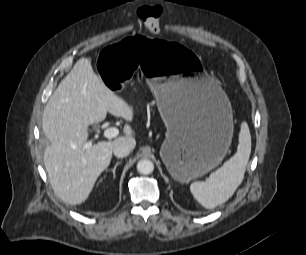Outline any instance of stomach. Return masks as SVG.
Returning a JSON list of instances; mask_svg holds the SVG:
<instances>
[{"instance_id":"stomach-1","label":"stomach","mask_w":306,"mask_h":255,"mask_svg":"<svg viewBox=\"0 0 306 255\" xmlns=\"http://www.w3.org/2000/svg\"><path fill=\"white\" fill-rule=\"evenodd\" d=\"M102 82L118 93L133 73L145 76L166 125L160 156L181 183L202 177L225 156L233 134L230 101L190 50L129 33L97 57Z\"/></svg>"}]
</instances>
